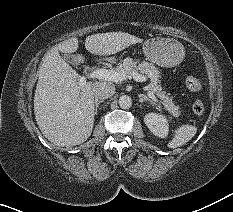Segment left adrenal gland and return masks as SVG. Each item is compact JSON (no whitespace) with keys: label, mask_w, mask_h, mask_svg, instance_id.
Segmentation results:
<instances>
[{"label":"left adrenal gland","mask_w":233,"mask_h":212,"mask_svg":"<svg viewBox=\"0 0 233 212\" xmlns=\"http://www.w3.org/2000/svg\"><path fill=\"white\" fill-rule=\"evenodd\" d=\"M143 101H149L151 104H153V105H155V106H157V107H159V105L156 103V102H154V101H152L150 98H148L146 95H142V98H141Z\"/></svg>","instance_id":"left-adrenal-gland-1"}]
</instances>
